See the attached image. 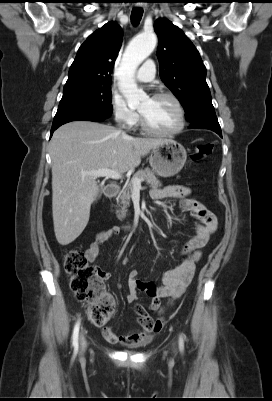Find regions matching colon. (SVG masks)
Returning <instances> with one entry per match:
<instances>
[{
    "label": "colon",
    "mask_w": 272,
    "mask_h": 401,
    "mask_svg": "<svg viewBox=\"0 0 272 401\" xmlns=\"http://www.w3.org/2000/svg\"><path fill=\"white\" fill-rule=\"evenodd\" d=\"M214 149L212 143L197 145L192 156L199 161L209 157ZM64 268L71 277V289L76 299L87 305L86 316L96 326L105 327L115 311L113 299L105 292L99 271L89 265L83 252L73 249L65 257ZM140 321L147 326L161 325V320H153L142 307L136 308Z\"/></svg>",
    "instance_id": "1"
}]
</instances>
